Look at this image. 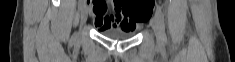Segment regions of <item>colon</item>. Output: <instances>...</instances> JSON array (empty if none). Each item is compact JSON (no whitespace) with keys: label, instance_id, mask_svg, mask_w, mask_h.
<instances>
[{"label":"colon","instance_id":"obj_1","mask_svg":"<svg viewBox=\"0 0 235 62\" xmlns=\"http://www.w3.org/2000/svg\"><path fill=\"white\" fill-rule=\"evenodd\" d=\"M99 3L95 6L102 8ZM154 0H135V1H123L119 4L123 12L131 18L134 24H139L147 21L148 16L152 10Z\"/></svg>","mask_w":235,"mask_h":62}]
</instances>
